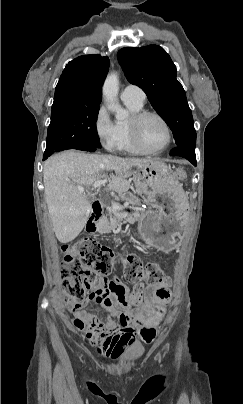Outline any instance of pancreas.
Listing matches in <instances>:
<instances>
[{
  "instance_id": "1",
  "label": "pancreas",
  "mask_w": 243,
  "mask_h": 404,
  "mask_svg": "<svg viewBox=\"0 0 243 404\" xmlns=\"http://www.w3.org/2000/svg\"><path fill=\"white\" fill-rule=\"evenodd\" d=\"M117 206L118 210H113V206L112 208H108V213L104 215V218H102V220H99V222H97V232H100V234H110L113 228H117L121 220V214H124L123 210L125 208V206H120V204H117ZM137 219L138 216L135 213H132L131 216H128L127 223L136 224Z\"/></svg>"
}]
</instances>
